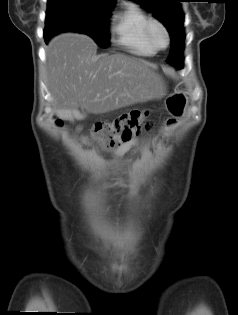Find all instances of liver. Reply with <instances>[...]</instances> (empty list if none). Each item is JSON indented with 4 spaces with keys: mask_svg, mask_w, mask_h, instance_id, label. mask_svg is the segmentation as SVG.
<instances>
[{
    "mask_svg": "<svg viewBox=\"0 0 238 315\" xmlns=\"http://www.w3.org/2000/svg\"><path fill=\"white\" fill-rule=\"evenodd\" d=\"M96 51L90 37L77 33H64L50 41L47 86L60 118L81 119L78 108L102 114L162 94L163 81L146 61L120 53L97 55Z\"/></svg>",
    "mask_w": 238,
    "mask_h": 315,
    "instance_id": "6515ba94",
    "label": "liver"
}]
</instances>
